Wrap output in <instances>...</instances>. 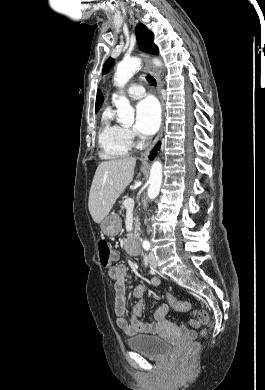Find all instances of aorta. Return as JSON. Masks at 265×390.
Segmentation results:
<instances>
[{"mask_svg":"<svg viewBox=\"0 0 265 390\" xmlns=\"http://www.w3.org/2000/svg\"><path fill=\"white\" fill-rule=\"evenodd\" d=\"M157 66H162L159 59H153ZM141 59L139 57H132L121 61L116 68L114 81L119 88H123L125 84L133 77V75L140 69ZM118 121L123 124H132L134 122V109L130 105L129 100L125 96H120L116 101ZM162 183V164L160 161H155L152 164L149 178V188L147 191L148 198L155 199L160 190ZM147 240L143 241V246L148 245Z\"/></svg>","mask_w":265,"mask_h":390,"instance_id":"obj_1","label":"aorta"}]
</instances>
